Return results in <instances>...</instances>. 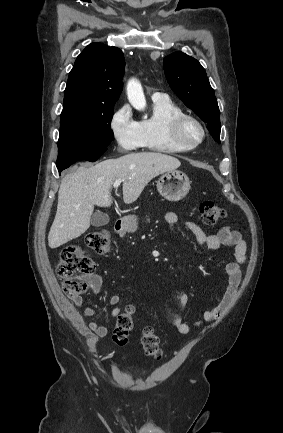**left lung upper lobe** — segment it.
I'll list each match as a JSON object with an SVG mask.
<instances>
[{
	"label": "left lung upper lobe",
	"instance_id": "5c2ea615",
	"mask_svg": "<svg viewBox=\"0 0 283 433\" xmlns=\"http://www.w3.org/2000/svg\"><path fill=\"white\" fill-rule=\"evenodd\" d=\"M166 79L175 94L208 124L212 137L220 143V113L214 90L204 68L180 51L163 60Z\"/></svg>",
	"mask_w": 283,
	"mask_h": 433
}]
</instances>
